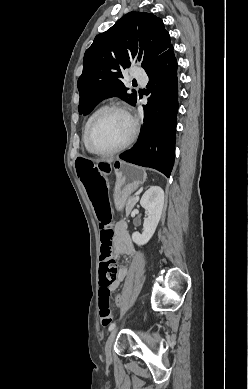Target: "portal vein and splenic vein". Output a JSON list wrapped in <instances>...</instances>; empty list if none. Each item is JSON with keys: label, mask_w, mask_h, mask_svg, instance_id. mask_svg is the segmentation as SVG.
Here are the masks:
<instances>
[{"label": "portal vein and splenic vein", "mask_w": 248, "mask_h": 389, "mask_svg": "<svg viewBox=\"0 0 248 389\" xmlns=\"http://www.w3.org/2000/svg\"><path fill=\"white\" fill-rule=\"evenodd\" d=\"M135 200H138V196L135 197Z\"/></svg>", "instance_id": "obj_1"}]
</instances>
